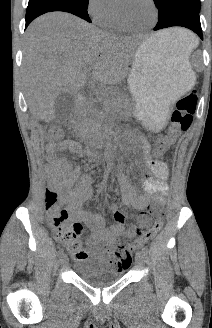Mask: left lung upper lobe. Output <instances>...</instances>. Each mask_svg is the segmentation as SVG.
<instances>
[{
  "mask_svg": "<svg viewBox=\"0 0 212 328\" xmlns=\"http://www.w3.org/2000/svg\"><path fill=\"white\" fill-rule=\"evenodd\" d=\"M154 3L158 7V16H162L169 6L174 3H184L195 9L197 12H200V0H154Z\"/></svg>",
  "mask_w": 212,
  "mask_h": 328,
  "instance_id": "1",
  "label": "left lung upper lobe"
}]
</instances>
